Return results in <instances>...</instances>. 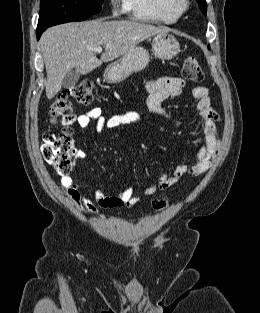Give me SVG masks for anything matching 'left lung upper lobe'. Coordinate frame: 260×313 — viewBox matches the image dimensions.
Wrapping results in <instances>:
<instances>
[{
	"mask_svg": "<svg viewBox=\"0 0 260 313\" xmlns=\"http://www.w3.org/2000/svg\"><path fill=\"white\" fill-rule=\"evenodd\" d=\"M200 4L201 10L203 12V14L206 15V11H207V5H206V1L205 0H197Z\"/></svg>",
	"mask_w": 260,
	"mask_h": 313,
	"instance_id": "5c2ea615",
	"label": "left lung upper lobe"
}]
</instances>
